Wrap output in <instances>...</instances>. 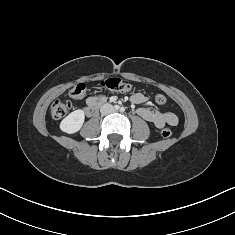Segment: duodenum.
<instances>
[{
  "label": "duodenum",
  "mask_w": 235,
  "mask_h": 235,
  "mask_svg": "<svg viewBox=\"0 0 235 235\" xmlns=\"http://www.w3.org/2000/svg\"><path fill=\"white\" fill-rule=\"evenodd\" d=\"M102 104L103 103H96L90 107H87L86 114L88 116H93L97 112L98 108L102 106Z\"/></svg>",
  "instance_id": "obj_1"
}]
</instances>
